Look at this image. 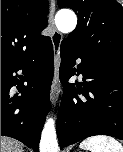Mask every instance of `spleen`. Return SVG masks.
<instances>
[{"label":"spleen","mask_w":123,"mask_h":152,"mask_svg":"<svg viewBox=\"0 0 123 152\" xmlns=\"http://www.w3.org/2000/svg\"><path fill=\"white\" fill-rule=\"evenodd\" d=\"M80 148L89 152H123V146L113 137L92 136L80 143Z\"/></svg>","instance_id":"obj_1"}]
</instances>
